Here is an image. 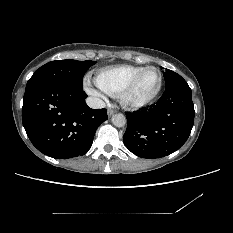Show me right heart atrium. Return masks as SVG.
Instances as JSON below:
<instances>
[{"instance_id":"right-heart-atrium-1","label":"right heart atrium","mask_w":233,"mask_h":233,"mask_svg":"<svg viewBox=\"0 0 233 233\" xmlns=\"http://www.w3.org/2000/svg\"><path fill=\"white\" fill-rule=\"evenodd\" d=\"M85 89L86 91L92 95L96 100L101 101L104 99L103 94L101 93L100 90L96 89L92 83L90 82V80L86 79L85 80Z\"/></svg>"}]
</instances>
